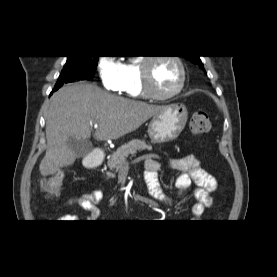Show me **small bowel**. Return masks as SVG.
<instances>
[{
	"instance_id": "c3829d8e",
	"label": "small bowel",
	"mask_w": 277,
	"mask_h": 277,
	"mask_svg": "<svg viewBox=\"0 0 277 277\" xmlns=\"http://www.w3.org/2000/svg\"><path fill=\"white\" fill-rule=\"evenodd\" d=\"M168 166L180 172L175 181V186L179 196H183L192 184L196 185L194 197L196 203L191 208V214L195 218L202 216L205 208L211 206L213 202V193L218 188V182L215 177L209 174L202 167L199 159L194 155H186L171 159ZM160 163L154 158H148L145 162L144 179L150 195L157 201L171 204L169 197L162 191L158 171ZM104 200V193L101 190H93L81 195L70 198V204H76L89 213L88 220H96L100 216L98 204ZM62 222H68L73 217L63 215L59 218Z\"/></svg>"
}]
</instances>
